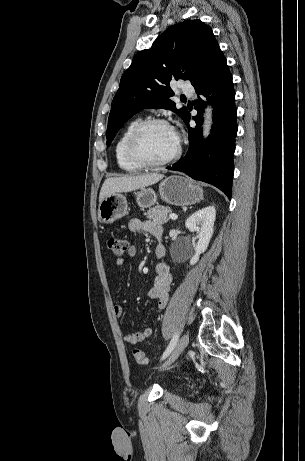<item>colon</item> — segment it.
I'll use <instances>...</instances> for the list:
<instances>
[{
  "label": "colon",
  "instance_id": "5ec220e1",
  "mask_svg": "<svg viewBox=\"0 0 305 461\" xmlns=\"http://www.w3.org/2000/svg\"><path fill=\"white\" fill-rule=\"evenodd\" d=\"M127 245V241L124 238L110 237L107 240V247L115 256H122L127 250ZM133 358L134 361L140 365H146L149 362L146 354L139 349L133 351Z\"/></svg>",
  "mask_w": 305,
  "mask_h": 461
}]
</instances>
